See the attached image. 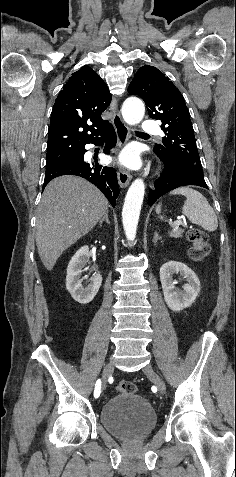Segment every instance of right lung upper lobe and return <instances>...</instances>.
Segmentation results:
<instances>
[{
    "label": "right lung upper lobe",
    "instance_id": "obj_1",
    "mask_svg": "<svg viewBox=\"0 0 236 477\" xmlns=\"http://www.w3.org/2000/svg\"><path fill=\"white\" fill-rule=\"evenodd\" d=\"M111 99L107 85L90 67L83 66L72 74L52 109L46 167L73 157L108 129L111 123L101 114Z\"/></svg>",
    "mask_w": 236,
    "mask_h": 477
}]
</instances>
